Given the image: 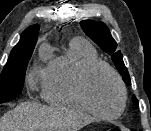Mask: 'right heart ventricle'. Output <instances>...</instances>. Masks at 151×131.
<instances>
[{
  "instance_id": "right-heart-ventricle-1",
  "label": "right heart ventricle",
  "mask_w": 151,
  "mask_h": 131,
  "mask_svg": "<svg viewBox=\"0 0 151 131\" xmlns=\"http://www.w3.org/2000/svg\"><path fill=\"white\" fill-rule=\"evenodd\" d=\"M99 59L96 49L86 40L73 39L68 49L46 66L41 84L42 96L50 104L82 107L73 86L84 67Z\"/></svg>"
}]
</instances>
